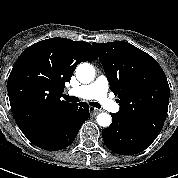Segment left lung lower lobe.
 Masks as SVG:
<instances>
[{
	"label": "left lung lower lobe",
	"mask_w": 178,
	"mask_h": 178,
	"mask_svg": "<svg viewBox=\"0 0 178 178\" xmlns=\"http://www.w3.org/2000/svg\"><path fill=\"white\" fill-rule=\"evenodd\" d=\"M111 116L112 124L102 131V136L107 148L117 154L140 153L158 136L128 123L114 113Z\"/></svg>",
	"instance_id": "0a47b994"
}]
</instances>
